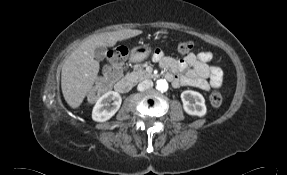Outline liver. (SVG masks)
Segmentation results:
<instances>
[{
	"label": "liver",
	"instance_id": "obj_1",
	"mask_svg": "<svg viewBox=\"0 0 287 175\" xmlns=\"http://www.w3.org/2000/svg\"><path fill=\"white\" fill-rule=\"evenodd\" d=\"M142 33L141 30L122 29L106 32L84 40L65 60L61 72V89L67 104L78 108L98 80L99 62L95 60L97 47H113L117 41Z\"/></svg>",
	"mask_w": 287,
	"mask_h": 175
}]
</instances>
